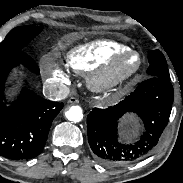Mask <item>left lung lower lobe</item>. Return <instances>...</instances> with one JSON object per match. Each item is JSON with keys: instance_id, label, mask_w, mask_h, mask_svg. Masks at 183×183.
I'll use <instances>...</instances> for the list:
<instances>
[{"instance_id": "left-lung-lower-lobe-1", "label": "left lung lower lobe", "mask_w": 183, "mask_h": 183, "mask_svg": "<svg viewBox=\"0 0 183 183\" xmlns=\"http://www.w3.org/2000/svg\"><path fill=\"white\" fill-rule=\"evenodd\" d=\"M174 91L170 78L150 77L117 105L94 108L87 117L88 141L96 158L106 165H122L150 154L166 127ZM136 113L145 131L126 144L118 139V121L126 113Z\"/></svg>"}]
</instances>
